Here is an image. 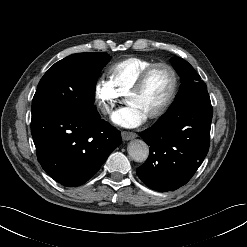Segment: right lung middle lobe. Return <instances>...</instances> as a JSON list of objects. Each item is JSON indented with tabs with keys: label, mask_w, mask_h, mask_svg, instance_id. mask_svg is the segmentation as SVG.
Returning a JSON list of instances; mask_svg holds the SVG:
<instances>
[{
	"label": "right lung middle lobe",
	"mask_w": 247,
	"mask_h": 247,
	"mask_svg": "<svg viewBox=\"0 0 247 247\" xmlns=\"http://www.w3.org/2000/svg\"><path fill=\"white\" fill-rule=\"evenodd\" d=\"M109 55L103 52L72 54L55 63L40 80L32 101V116L57 106L93 115L95 86Z\"/></svg>",
	"instance_id": "obj_1"
}]
</instances>
